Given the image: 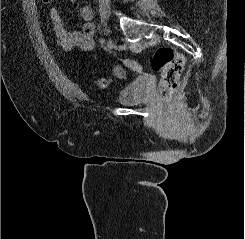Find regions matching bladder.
Instances as JSON below:
<instances>
[{
    "instance_id": "1",
    "label": "bladder",
    "mask_w": 245,
    "mask_h": 239,
    "mask_svg": "<svg viewBox=\"0 0 245 239\" xmlns=\"http://www.w3.org/2000/svg\"><path fill=\"white\" fill-rule=\"evenodd\" d=\"M153 84L135 79L122 88L118 94L117 103L137 105L148 99Z\"/></svg>"
}]
</instances>
